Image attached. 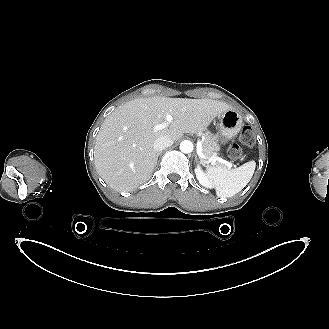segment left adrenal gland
Segmentation results:
<instances>
[{
    "label": "left adrenal gland",
    "instance_id": "obj_1",
    "mask_svg": "<svg viewBox=\"0 0 329 329\" xmlns=\"http://www.w3.org/2000/svg\"><path fill=\"white\" fill-rule=\"evenodd\" d=\"M195 162H196L197 164L200 163L199 160H198V156H197V155L195 156Z\"/></svg>",
    "mask_w": 329,
    "mask_h": 329
}]
</instances>
